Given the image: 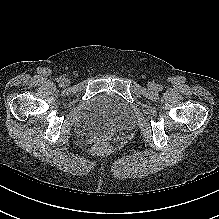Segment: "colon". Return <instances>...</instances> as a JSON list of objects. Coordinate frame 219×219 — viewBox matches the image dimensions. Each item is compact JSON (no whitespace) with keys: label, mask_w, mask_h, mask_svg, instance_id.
I'll list each match as a JSON object with an SVG mask.
<instances>
[{"label":"colon","mask_w":219,"mask_h":219,"mask_svg":"<svg viewBox=\"0 0 219 219\" xmlns=\"http://www.w3.org/2000/svg\"><path fill=\"white\" fill-rule=\"evenodd\" d=\"M110 150V147L107 143H97L93 146L92 151L94 154L102 155L107 153Z\"/></svg>","instance_id":"5ec220e1"}]
</instances>
